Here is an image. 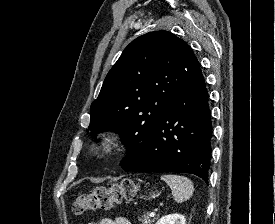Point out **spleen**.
<instances>
[{"label": "spleen", "mask_w": 275, "mask_h": 224, "mask_svg": "<svg viewBox=\"0 0 275 224\" xmlns=\"http://www.w3.org/2000/svg\"><path fill=\"white\" fill-rule=\"evenodd\" d=\"M161 179L169 185L172 190L174 200L178 203L188 200L194 192L193 183L187 177L167 174L162 175Z\"/></svg>", "instance_id": "1"}]
</instances>
